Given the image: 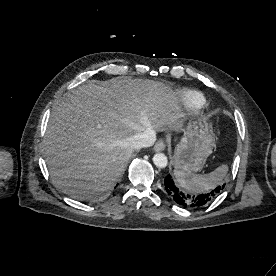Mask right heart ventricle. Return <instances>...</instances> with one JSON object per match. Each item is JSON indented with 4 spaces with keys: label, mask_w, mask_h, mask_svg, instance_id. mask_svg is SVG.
I'll return each mask as SVG.
<instances>
[{
    "label": "right heart ventricle",
    "mask_w": 276,
    "mask_h": 276,
    "mask_svg": "<svg viewBox=\"0 0 276 276\" xmlns=\"http://www.w3.org/2000/svg\"><path fill=\"white\" fill-rule=\"evenodd\" d=\"M186 108L190 111L201 109L205 104V97L197 91H185L182 95Z\"/></svg>",
    "instance_id": "obj_1"
}]
</instances>
